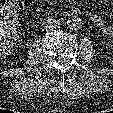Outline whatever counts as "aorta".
Instances as JSON below:
<instances>
[{
  "instance_id": "aorta-1",
  "label": "aorta",
  "mask_w": 113,
  "mask_h": 113,
  "mask_svg": "<svg viewBox=\"0 0 113 113\" xmlns=\"http://www.w3.org/2000/svg\"><path fill=\"white\" fill-rule=\"evenodd\" d=\"M67 25L71 30H78L82 26V19L77 15L71 16L67 20Z\"/></svg>"
}]
</instances>
